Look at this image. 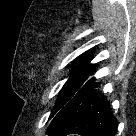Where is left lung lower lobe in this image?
I'll return each mask as SVG.
<instances>
[{"mask_svg": "<svg viewBox=\"0 0 136 136\" xmlns=\"http://www.w3.org/2000/svg\"><path fill=\"white\" fill-rule=\"evenodd\" d=\"M95 78L88 80L73 98L54 116L49 136H114L116 123L108 103L97 93Z\"/></svg>", "mask_w": 136, "mask_h": 136, "instance_id": "1", "label": "left lung lower lobe"}]
</instances>
